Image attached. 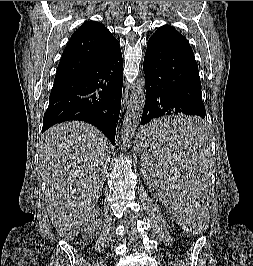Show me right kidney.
I'll list each match as a JSON object with an SVG mask.
<instances>
[{
  "label": "right kidney",
  "mask_w": 253,
  "mask_h": 266,
  "mask_svg": "<svg viewBox=\"0 0 253 266\" xmlns=\"http://www.w3.org/2000/svg\"><path fill=\"white\" fill-rule=\"evenodd\" d=\"M94 214L87 219L82 227L83 238L88 239L97 236L101 228V221L94 218Z\"/></svg>",
  "instance_id": "1"
}]
</instances>
